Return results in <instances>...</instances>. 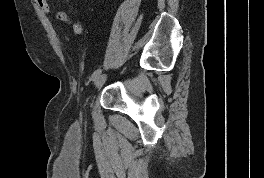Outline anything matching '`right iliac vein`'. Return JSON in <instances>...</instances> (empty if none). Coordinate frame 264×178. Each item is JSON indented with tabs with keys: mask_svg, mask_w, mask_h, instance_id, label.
I'll use <instances>...</instances> for the list:
<instances>
[{
	"mask_svg": "<svg viewBox=\"0 0 264 178\" xmlns=\"http://www.w3.org/2000/svg\"><path fill=\"white\" fill-rule=\"evenodd\" d=\"M107 79V75L106 74H102V75H98L97 77H95L93 79L94 81V87L98 88L100 87Z\"/></svg>",
	"mask_w": 264,
	"mask_h": 178,
	"instance_id": "63e3f726",
	"label": "right iliac vein"
}]
</instances>
